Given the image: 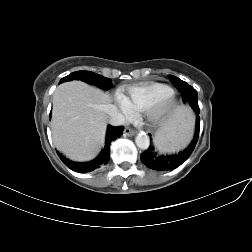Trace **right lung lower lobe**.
Wrapping results in <instances>:
<instances>
[{
    "label": "right lung lower lobe",
    "mask_w": 252,
    "mask_h": 252,
    "mask_svg": "<svg viewBox=\"0 0 252 252\" xmlns=\"http://www.w3.org/2000/svg\"><path fill=\"white\" fill-rule=\"evenodd\" d=\"M123 130L124 128L122 126L114 127V126L109 125L107 129V133H106V142H105L104 149L94 160L90 162H85V163L73 162L65 158L62 154L58 152L57 154L62 160V162L71 170L75 172H79V173L91 172L108 163L110 159L111 142L117 139L118 137H120L123 133Z\"/></svg>",
    "instance_id": "right-lung-lower-lobe-1"
}]
</instances>
